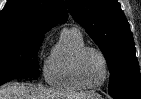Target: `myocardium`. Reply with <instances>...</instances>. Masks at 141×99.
Returning <instances> with one entry per match:
<instances>
[{"instance_id":"myocardium-1","label":"myocardium","mask_w":141,"mask_h":99,"mask_svg":"<svg viewBox=\"0 0 141 99\" xmlns=\"http://www.w3.org/2000/svg\"><path fill=\"white\" fill-rule=\"evenodd\" d=\"M88 52H95L96 54H98L103 63H104V68H105V75H104V79L102 80L101 83L97 84V85H91L88 84L83 76H82V71H81V64H82V60L84 58V56L88 53ZM74 73L75 76L78 80V82L85 87L86 89H91V90H96V89H100L101 87H103L106 82L109 79L110 76V67H109V62L108 59L106 57V55L104 54V52L102 50H100L99 48L93 47V46H84L82 47L76 54L75 59H74Z\"/></svg>"}]
</instances>
